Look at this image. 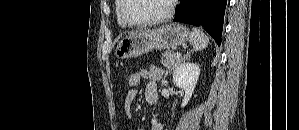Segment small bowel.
Listing matches in <instances>:
<instances>
[{"label":"small bowel","instance_id":"obj_1","mask_svg":"<svg viewBox=\"0 0 299 130\" xmlns=\"http://www.w3.org/2000/svg\"><path fill=\"white\" fill-rule=\"evenodd\" d=\"M141 78L147 80L146 88H145V96L148 100V97L152 94L157 95V82L162 77V71L156 66H149L140 71ZM138 89L128 91L125 102L124 109L129 118L132 117L131 108L133 102L137 96ZM151 130H163L162 122L159 118L153 117L150 121Z\"/></svg>","mask_w":299,"mask_h":130}]
</instances>
